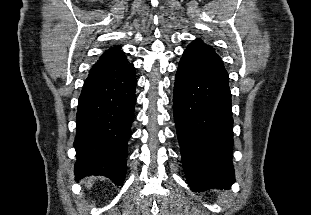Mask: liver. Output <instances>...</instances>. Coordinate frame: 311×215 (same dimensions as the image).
<instances>
[{"instance_id": "1", "label": "liver", "mask_w": 311, "mask_h": 215, "mask_svg": "<svg viewBox=\"0 0 311 215\" xmlns=\"http://www.w3.org/2000/svg\"><path fill=\"white\" fill-rule=\"evenodd\" d=\"M92 185L91 181L89 180L87 183H86V186L87 187H90Z\"/></svg>"}]
</instances>
